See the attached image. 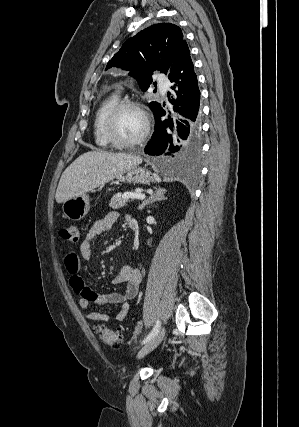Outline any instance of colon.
<instances>
[{
  "label": "colon",
  "mask_w": 299,
  "mask_h": 427,
  "mask_svg": "<svg viewBox=\"0 0 299 427\" xmlns=\"http://www.w3.org/2000/svg\"><path fill=\"white\" fill-rule=\"evenodd\" d=\"M60 236L66 241L78 243L80 240V230L78 225L71 224L63 227L60 230ZM95 330L105 344L113 347H119L122 344V337L107 327L103 325H96Z\"/></svg>",
  "instance_id": "colon-1"
}]
</instances>
